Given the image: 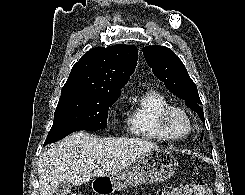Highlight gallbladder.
<instances>
[{
	"label": "gallbladder",
	"instance_id": "bac80fb5",
	"mask_svg": "<svg viewBox=\"0 0 245 195\" xmlns=\"http://www.w3.org/2000/svg\"><path fill=\"white\" fill-rule=\"evenodd\" d=\"M71 184L70 183H61L56 188L55 195H67L71 192Z\"/></svg>",
	"mask_w": 245,
	"mask_h": 195
}]
</instances>
